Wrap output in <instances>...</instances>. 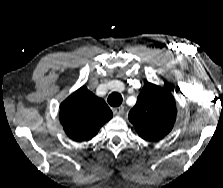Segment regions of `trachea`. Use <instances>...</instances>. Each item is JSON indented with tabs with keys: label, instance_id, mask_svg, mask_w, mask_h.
I'll return each instance as SVG.
<instances>
[{
	"label": "trachea",
	"instance_id": "trachea-1",
	"mask_svg": "<svg viewBox=\"0 0 223 188\" xmlns=\"http://www.w3.org/2000/svg\"><path fill=\"white\" fill-rule=\"evenodd\" d=\"M108 103L110 106L112 107H118L121 105L123 98L121 96V94L116 93V92H112L108 99H107Z\"/></svg>",
	"mask_w": 223,
	"mask_h": 188
}]
</instances>
